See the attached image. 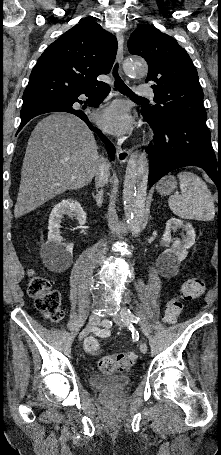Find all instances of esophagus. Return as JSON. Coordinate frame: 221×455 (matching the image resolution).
Segmentation results:
<instances>
[{"label": "esophagus", "instance_id": "34e87169", "mask_svg": "<svg viewBox=\"0 0 221 455\" xmlns=\"http://www.w3.org/2000/svg\"><path fill=\"white\" fill-rule=\"evenodd\" d=\"M117 41H118L117 60L119 64H121L124 55V38L121 33H117ZM129 156L130 151L122 148L117 149V159L121 164L125 163L128 160Z\"/></svg>", "mask_w": 221, "mask_h": 455}]
</instances>
